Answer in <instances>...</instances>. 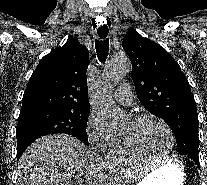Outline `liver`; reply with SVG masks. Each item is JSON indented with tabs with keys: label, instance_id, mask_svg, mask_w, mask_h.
I'll return each instance as SVG.
<instances>
[{
	"label": "liver",
	"instance_id": "6515ba94",
	"mask_svg": "<svg viewBox=\"0 0 207 185\" xmlns=\"http://www.w3.org/2000/svg\"><path fill=\"white\" fill-rule=\"evenodd\" d=\"M94 161L95 155L72 135H45L20 157L16 185H70L71 179L89 175Z\"/></svg>",
	"mask_w": 207,
	"mask_h": 185
}]
</instances>
